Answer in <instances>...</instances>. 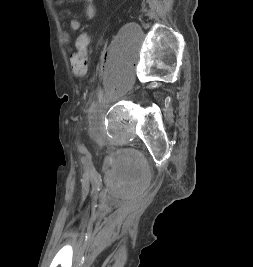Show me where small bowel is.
Returning a JSON list of instances; mask_svg holds the SVG:
<instances>
[{"mask_svg": "<svg viewBox=\"0 0 253 267\" xmlns=\"http://www.w3.org/2000/svg\"><path fill=\"white\" fill-rule=\"evenodd\" d=\"M84 3V13L88 19H93L96 15V9L93 5V0H82ZM71 30L78 32L82 29V23L80 20L73 18L70 20ZM63 39L66 43H70V35L67 31H63Z\"/></svg>", "mask_w": 253, "mask_h": 267, "instance_id": "small-bowel-1", "label": "small bowel"}]
</instances>
